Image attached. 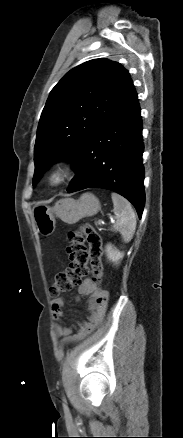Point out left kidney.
<instances>
[{"instance_id": "5707ae66", "label": "left kidney", "mask_w": 183, "mask_h": 438, "mask_svg": "<svg viewBox=\"0 0 183 438\" xmlns=\"http://www.w3.org/2000/svg\"><path fill=\"white\" fill-rule=\"evenodd\" d=\"M106 254L109 260L112 262H118L120 259L123 258L124 254L117 250L115 247H113L111 244H108L106 246Z\"/></svg>"}]
</instances>
